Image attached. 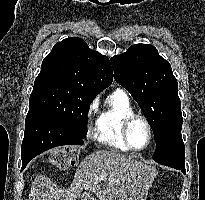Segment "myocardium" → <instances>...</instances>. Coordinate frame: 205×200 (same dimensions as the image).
<instances>
[{"instance_id": "1", "label": "myocardium", "mask_w": 205, "mask_h": 200, "mask_svg": "<svg viewBox=\"0 0 205 200\" xmlns=\"http://www.w3.org/2000/svg\"><path fill=\"white\" fill-rule=\"evenodd\" d=\"M136 120L143 121L148 129L149 138H148L147 144L142 148L134 147L132 145V143L130 141V137H129L130 127ZM121 132H122V137H123L126 145L130 148V150H133V151H143V150L147 149L153 141V129H152L151 123L149 122V120L145 116L140 115V114L134 113V114L128 116L127 118H125L123 123H122Z\"/></svg>"}]
</instances>
